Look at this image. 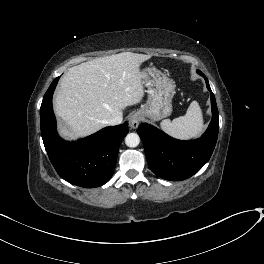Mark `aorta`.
Here are the masks:
<instances>
[{"label": "aorta", "instance_id": "762f6f07", "mask_svg": "<svg viewBox=\"0 0 264 264\" xmlns=\"http://www.w3.org/2000/svg\"><path fill=\"white\" fill-rule=\"evenodd\" d=\"M140 143V137L136 133H129L125 137V144L128 147L134 148L137 147Z\"/></svg>", "mask_w": 264, "mask_h": 264}]
</instances>
